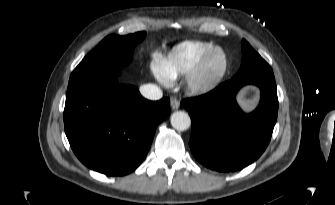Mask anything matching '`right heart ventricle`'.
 <instances>
[{
	"mask_svg": "<svg viewBox=\"0 0 335 205\" xmlns=\"http://www.w3.org/2000/svg\"><path fill=\"white\" fill-rule=\"evenodd\" d=\"M216 46L205 41H184L176 45L163 61L167 74L171 77L189 74L200 59Z\"/></svg>",
	"mask_w": 335,
	"mask_h": 205,
	"instance_id": "e07e8e85",
	"label": "right heart ventricle"
}]
</instances>
